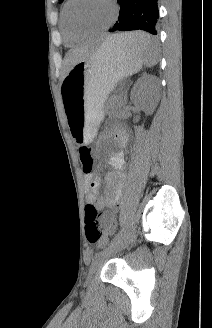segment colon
Wrapping results in <instances>:
<instances>
[{
    "mask_svg": "<svg viewBox=\"0 0 212 328\" xmlns=\"http://www.w3.org/2000/svg\"><path fill=\"white\" fill-rule=\"evenodd\" d=\"M79 157L82 163L84 173H90L93 170L92 151L87 146L79 148ZM99 211L93 204L85 207V234L87 241L92 245H102L105 242V236L98 224Z\"/></svg>",
    "mask_w": 212,
    "mask_h": 328,
    "instance_id": "obj_1",
    "label": "colon"
}]
</instances>
